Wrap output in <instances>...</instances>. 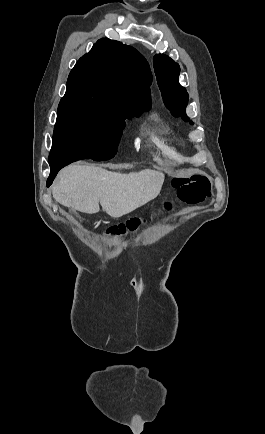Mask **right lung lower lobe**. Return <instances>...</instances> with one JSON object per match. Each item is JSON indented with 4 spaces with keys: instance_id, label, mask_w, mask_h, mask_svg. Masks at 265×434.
Listing matches in <instances>:
<instances>
[{
    "instance_id": "1",
    "label": "right lung lower lobe",
    "mask_w": 265,
    "mask_h": 434,
    "mask_svg": "<svg viewBox=\"0 0 265 434\" xmlns=\"http://www.w3.org/2000/svg\"><path fill=\"white\" fill-rule=\"evenodd\" d=\"M70 163H72V162L60 163V164H57V165H54V166H50L51 167L50 175H49V178L47 179V186L48 187L52 184V182H53L56 174L58 173V171L61 168L65 167L66 165L70 164Z\"/></svg>"
}]
</instances>
